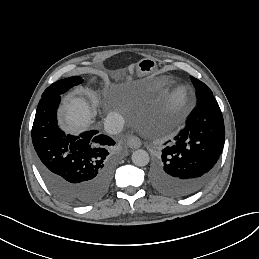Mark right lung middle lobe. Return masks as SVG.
Masks as SVG:
<instances>
[{
	"mask_svg": "<svg viewBox=\"0 0 259 259\" xmlns=\"http://www.w3.org/2000/svg\"><path fill=\"white\" fill-rule=\"evenodd\" d=\"M83 80L79 76H73L59 80L50 85L42 94V97L61 95L68 91L70 88L79 85Z\"/></svg>",
	"mask_w": 259,
	"mask_h": 259,
	"instance_id": "obj_1",
	"label": "right lung middle lobe"
}]
</instances>
